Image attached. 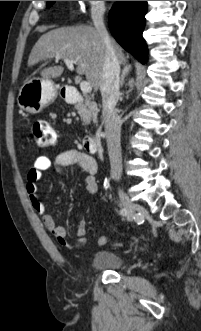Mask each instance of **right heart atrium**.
Segmentation results:
<instances>
[{"label":"right heart atrium","instance_id":"obj_1","mask_svg":"<svg viewBox=\"0 0 201 331\" xmlns=\"http://www.w3.org/2000/svg\"><path fill=\"white\" fill-rule=\"evenodd\" d=\"M82 6L88 7L83 9V16H90L91 19H98L99 13L106 9L105 1H80Z\"/></svg>","mask_w":201,"mask_h":331}]
</instances>
